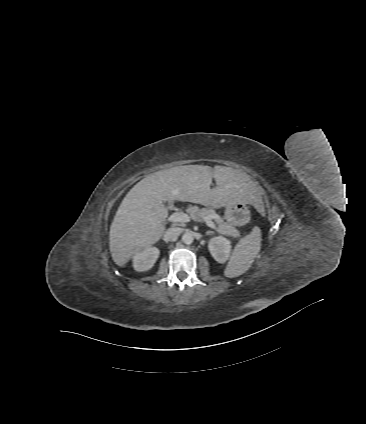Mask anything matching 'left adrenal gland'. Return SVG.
I'll use <instances>...</instances> for the list:
<instances>
[{
    "mask_svg": "<svg viewBox=\"0 0 366 424\" xmlns=\"http://www.w3.org/2000/svg\"><path fill=\"white\" fill-rule=\"evenodd\" d=\"M213 234V232H207L206 236Z\"/></svg>",
    "mask_w": 366,
    "mask_h": 424,
    "instance_id": "a2214340",
    "label": "left adrenal gland"
}]
</instances>
